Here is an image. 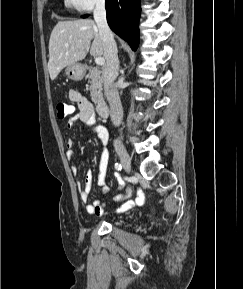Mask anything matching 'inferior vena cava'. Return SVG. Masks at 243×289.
I'll return each instance as SVG.
<instances>
[{
	"instance_id": "1",
	"label": "inferior vena cava",
	"mask_w": 243,
	"mask_h": 289,
	"mask_svg": "<svg viewBox=\"0 0 243 289\" xmlns=\"http://www.w3.org/2000/svg\"><path fill=\"white\" fill-rule=\"evenodd\" d=\"M94 20L98 26L99 35L104 45L106 67L103 71V79L105 94L110 105L111 121L114 126H119L123 119V109L119 94L114 88V80L118 76L119 60L117 55V45L106 19L105 0L96 1ZM114 148L116 151H123L125 149L124 145L118 139L114 141Z\"/></svg>"
}]
</instances>
